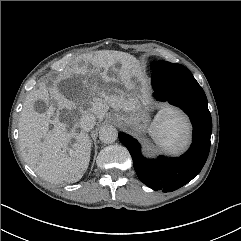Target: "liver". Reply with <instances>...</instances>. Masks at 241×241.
Returning <instances> with one entry per match:
<instances>
[{
	"label": "liver",
	"mask_w": 241,
	"mask_h": 241,
	"mask_svg": "<svg viewBox=\"0 0 241 241\" xmlns=\"http://www.w3.org/2000/svg\"><path fill=\"white\" fill-rule=\"evenodd\" d=\"M92 69L77 67L65 71L61 77L53 81V86L47 88L40 84L33 89L24 102L19 121V142L21 150L34 171L45 180L52 183H75L79 181L88 168L91 153V140L79 122L86 113H92L102 121L110 107L126 113L134 111L141 99L134 84L130 82L136 74L138 60L127 53L118 51H100L89 58ZM115 66H119L115 69ZM110 68L118 72V78L109 74ZM82 91L72 99H68L59 89V84L76 83L78 75H86ZM125 80L126 91L113 88L117 80ZM75 81V82H74ZM86 92V93H85ZM113 92V93H112ZM85 96V99L82 97ZM43 101L49 105L50 100L58 104L53 117L47 113L35 110V101ZM68 109L72 116V128L61 122L59 110ZM49 125H53L50 129ZM74 139L71 148L69 144Z\"/></svg>",
	"instance_id": "obj_1"
}]
</instances>
